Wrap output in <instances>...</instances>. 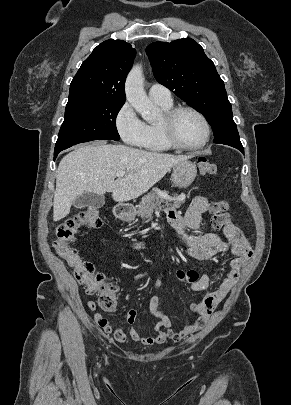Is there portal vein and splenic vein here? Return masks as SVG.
Returning <instances> with one entry per match:
<instances>
[{
	"mask_svg": "<svg viewBox=\"0 0 291 405\" xmlns=\"http://www.w3.org/2000/svg\"><path fill=\"white\" fill-rule=\"evenodd\" d=\"M124 175H126V172H125V171H119V172L116 173V177H118V178H121V177H123Z\"/></svg>",
	"mask_w": 291,
	"mask_h": 405,
	"instance_id": "18ae733b",
	"label": "portal vein and splenic vein"
}]
</instances>
